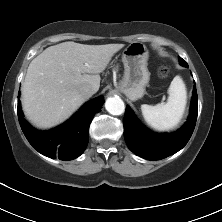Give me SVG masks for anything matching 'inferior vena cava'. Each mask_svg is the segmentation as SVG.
Wrapping results in <instances>:
<instances>
[{"mask_svg":"<svg viewBox=\"0 0 222 222\" xmlns=\"http://www.w3.org/2000/svg\"><path fill=\"white\" fill-rule=\"evenodd\" d=\"M79 92L84 98H89L96 92V89L91 85H83L80 87Z\"/></svg>","mask_w":222,"mask_h":222,"instance_id":"1","label":"inferior vena cava"}]
</instances>
